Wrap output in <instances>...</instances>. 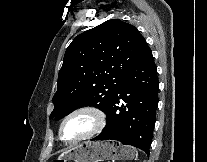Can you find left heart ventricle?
Wrapping results in <instances>:
<instances>
[{"mask_svg": "<svg viewBox=\"0 0 207 162\" xmlns=\"http://www.w3.org/2000/svg\"><path fill=\"white\" fill-rule=\"evenodd\" d=\"M94 126V118L89 113L74 116L66 122L63 137L66 140L79 138L88 133Z\"/></svg>", "mask_w": 207, "mask_h": 162, "instance_id": "obj_1", "label": "left heart ventricle"}]
</instances>
